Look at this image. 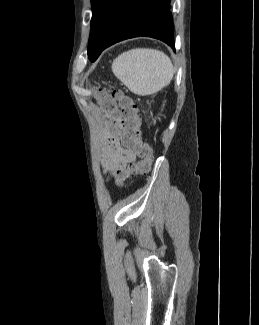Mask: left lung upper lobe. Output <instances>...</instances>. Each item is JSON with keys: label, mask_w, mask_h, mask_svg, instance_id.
<instances>
[{"label": "left lung upper lobe", "mask_w": 259, "mask_h": 325, "mask_svg": "<svg viewBox=\"0 0 259 325\" xmlns=\"http://www.w3.org/2000/svg\"><path fill=\"white\" fill-rule=\"evenodd\" d=\"M124 0H91L92 20L88 57L94 62L101 54L104 32L110 19Z\"/></svg>", "instance_id": "5c2ea615"}]
</instances>
